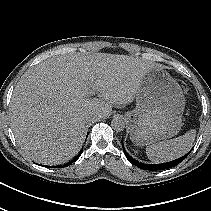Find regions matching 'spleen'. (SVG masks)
Segmentation results:
<instances>
[{
  "instance_id": "1",
  "label": "spleen",
  "mask_w": 211,
  "mask_h": 211,
  "mask_svg": "<svg viewBox=\"0 0 211 211\" xmlns=\"http://www.w3.org/2000/svg\"><path fill=\"white\" fill-rule=\"evenodd\" d=\"M195 136L196 130L191 129L177 138L147 146L146 154L154 163H163L177 159L192 148Z\"/></svg>"
}]
</instances>
